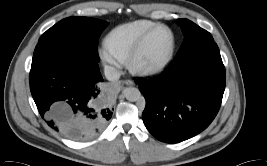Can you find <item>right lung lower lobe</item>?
<instances>
[{"instance_id":"98d812e1","label":"right lung lower lobe","mask_w":267,"mask_h":166,"mask_svg":"<svg viewBox=\"0 0 267 166\" xmlns=\"http://www.w3.org/2000/svg\"><path fill=\"white\" fill-rule=\"evenodd\" d=\"M98 61L58 40L39 41L30 71V90L41 117L73 140L101 132L112 116L102 100Z\"/></svg>"}]
</instances>
